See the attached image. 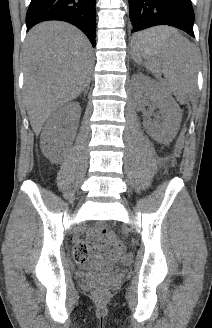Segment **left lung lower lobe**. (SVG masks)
<instances>
[{"label": "left lung lower lobe", "instance_id": "1", "mask_svg": "<svg viewBox=\"0 0 212 328\" xmlns=\"http://www.w3.org/2000/svg\"><path fill=\"white\" fill-rule=\"evenodd\" d=\"M129 16L132 33L156 25H169L194 37L191 0H129ZM132 44L135 49L141 46L136 38Z\"/></svg>", "mask_w": 212, "mask_h": 328}]
</instances>
